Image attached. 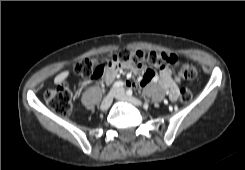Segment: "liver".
<instances>
[{
	"label": "liver",
	"mask_w": 245,
	"mask_h": 170,
	"mask_svg": "<svg viewBox=\"0 0 245 170\" xmlns=\"http://www.w3.org/2000/svg\"><path fill=\"white\" fill-rule=\"evenodd\" d=\"M69 75V71H65L60 73L59 75H57L54 79V83L55 84H59L61 82H63Z\"/></svg>",
	"instance_id": "1"
}]
</instances>
